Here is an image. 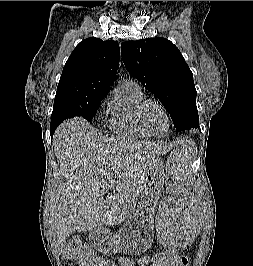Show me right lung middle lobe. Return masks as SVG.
Instances as JSON below:
<instances>
[{"label": "right lung middle lobe", "mask_w": 253, "mask_h": 266, "mask_svg": "<svg viewBox=\"0 0 253 266\" xmlns=\"http://www.w3.org/2000/svg\"><path fill=\"white\" fill-rule=\"evenodd\" d=\"M106 94L98 93L83 99L54 101L51 124H60L74 116H81L91 121Z\"/></svg>", "instance_id": "obj_1"}]
</instances>
